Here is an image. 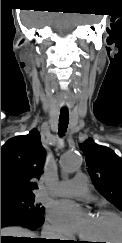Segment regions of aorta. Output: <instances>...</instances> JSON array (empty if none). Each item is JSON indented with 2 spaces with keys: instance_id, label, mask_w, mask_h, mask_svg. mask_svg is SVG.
<instances>
[{
  "instance_id": "762f6f07",
  "label": "aorta",
  "mask_w": 122,
  "mask_h": 243,
  "mask_svg": "<svg viewBox=\"0 0 122 243\" xmlns=\"http://www.w3.org/2000/svg\"><path fill=\"white\" fill-rule=\"evenodd\" d=\"M81 165V157L73 151H67L63 154L60 162L61 170L65 174L76 172Z\"/></svg>"
}]
</instances>
